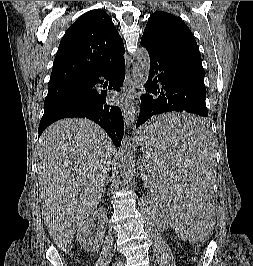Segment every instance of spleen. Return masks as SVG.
Here are the masks:
<instances>
[{
    "mask_svg": "<svg viewBox=\"0 0 253 266\" xmlns=\"http://www.w3.org/2000/svg\"><path fill=\"white\" fill-rule=\"evenodd\" d=\"M206 115L201 111H163L149 117L144 131L151 138L143 139V156L139 161L144 187L168 213L171 228L177 229L182 242L199 248L216 235L211 207V184L214 165L208 141Z\"/></svg>",
    "mask_w": 253,
    "mask_h": 266,
    "instance_id": "1",
    "label": "spleen"
}]
</instances>
